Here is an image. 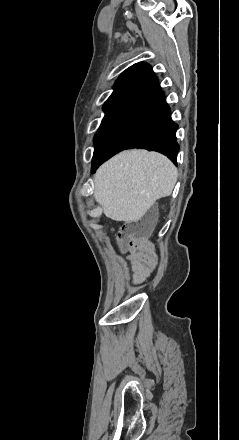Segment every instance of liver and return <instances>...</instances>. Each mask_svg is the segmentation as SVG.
<instances>
[{"instance_id": "6515ba94", "label": "liver", "mask_w": 239, "mask_h": 440, "mask_svg": "<svg viewBox=\"0 0 239 440\" xmlns=\"http://www.w3.org/2000/svg\"><path fill=\"white\" fill-rule=\"evenodd\" d=\"M177 178L178 170L166 156L125 150L97 170L94 198L106 218L139 222L156 200L171 196Z\"/></svg>"}]
</instances>
